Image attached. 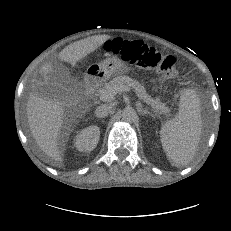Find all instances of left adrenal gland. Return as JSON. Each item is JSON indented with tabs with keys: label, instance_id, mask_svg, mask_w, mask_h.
<instances>
[{
	"label": "left adrenal gland",
	"instance_id": "1",
	"mask_svg": "<svg viewBox=\"0 0 231 231\" xmlns=\"http://www.w3.org/2000/svg\"><path fill=\"white\" fill-rule=\"evenodd\" d=\"M139 111H140V114H141V115L148 114V115H150V116H151V117H153V118L155 117V115H154V114H152L150 111H148V109H147V108H145V109H144V108H140V110H139Z\"/></svg>",
	"mask_w": 231,
	"mask_h": 231
}]
</instances>
